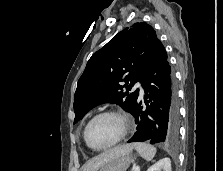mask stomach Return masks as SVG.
Segmentation results:
<instances>
[{
  "label": "stomach",
  "mask_w": 223,
  "mask_h": 171,
  "mask_svg": "<svg viewBox=\"0 0 223 171\" xmlns=\"http://www.w3.org/2000/svg\"><path fill=\"white\" fill-rule=\"evenodd\" d=\"M132 162L133 159L129 154L121 155L102 166L99 171H126Z\"/></svg>",
  "instance_id": "0dacf381"
}]
</instances>
